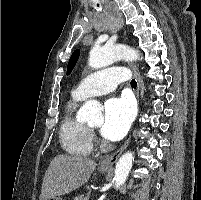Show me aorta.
Segmentation results:
<instances>
[{"label": "aorta", "mask_w": 201, "mask_h": 200, "mask_svg": "<svg viewBox=\"0 0 201 200\" xmlns=\"http://www.w3.org/2000/svg\"><path fill=\"white\" fill-rule=\"evenodd\" d=\"M122 59L137 60L139 59V53L123 44H117L111 47L95 44L90 51L88 63L92 68L100 69ZM81 113L86 121L94 123L102 121L100 106L95 100L87 101L82 107ZM133 160L134 155L132 152H126L119 158L113 178L116 187L125 183L131 170Z\"/></svg>", "instance_id": "1"}]
</instances>
